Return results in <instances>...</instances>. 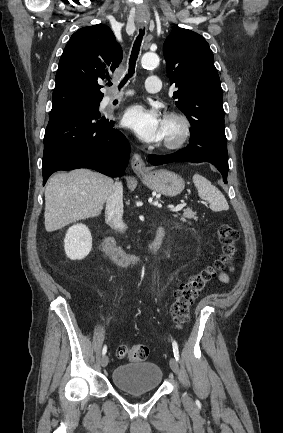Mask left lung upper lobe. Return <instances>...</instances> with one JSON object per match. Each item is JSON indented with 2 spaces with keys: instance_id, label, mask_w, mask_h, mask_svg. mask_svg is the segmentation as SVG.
<instances>
[{
  "instance_id": "5c2ea615",
  "label": "left lung upper lobe",
  "mask_w": 283,
  "mask_h": 433,
  "mask_svg": "<svg viewBox=\"0 0 283 433\" xmlns=\"http://www.w3.org/2000/svg\"><path fill=\"white\" fill-rule=\"evenodd\" d=\"M163 53L170 83L178 88L173 93L175 104L191 126L224 128L222 88L206 40L191 30L175 28L164 42Z\"/></svg>"
}]
</instances>
